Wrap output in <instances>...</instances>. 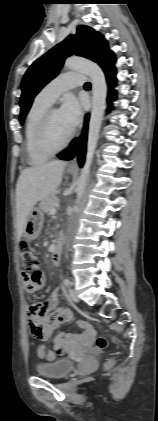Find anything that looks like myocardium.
<instances>
[{"mask_svg": "<svg viewBox=\"0 0 158 421\" xmlns=\"http://www.w3.org/2000/svg\"><path fill=\"white\" fill-rule=\"evenodd\" d=\"M54 110L56 109L49 107L44 112L36 131V144H37L38 149L41 152L50 156L66 148L68 144L71 142L74 135L73 131H71L70 134L67 136V138L61 144L53 145L51 143L50 137H49V126H50L51 114Z\"/></svg>", "mask_w": 158, "mask_h": 421, "instance_id": "myocardium-1", "label": "myocardium"}]
</instances>
